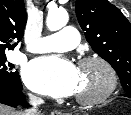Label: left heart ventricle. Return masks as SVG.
<instances>
[{
	"instance_id": "1",
	"label": "left heart ventricle",
	"mask_w": 131,
	"mask_h": 115,
	"mask_svg": "<svg viewBox=\"0 0 131 115\" xmlns=\"http://www.w3.org/2000/svg\"><path fill=\"white\" fill-rule=\"evenodd\" d=\"M79 81L76 95L92 96L103 90L107 84V74L98 64L91 63L79 67Z\"/></svg>"
}]
</instances>
